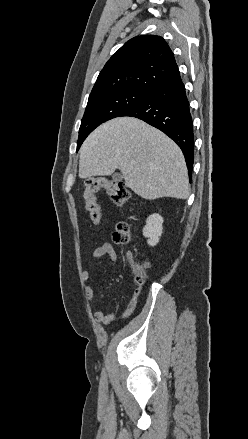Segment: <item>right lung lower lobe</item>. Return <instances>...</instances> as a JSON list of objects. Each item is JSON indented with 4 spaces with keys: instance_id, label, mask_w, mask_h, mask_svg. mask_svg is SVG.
Segmentation results:
<instances>
[{
    "instance_id": "obj_1",
    "label": "right lung lower lobe",
    "mask_w": 248,
    "mask_h": 439,
    "mask_svg": "<svg viewBox=\"0 0 248 439\" xmlns=\"http://www.w3.org/2000/svg\"><path fill=\"white\" fill-rule=\"evenodd\" d=\"M121 116L141 119L174 140L184 154L191 180L194 162L193 121L180 76L149 93Z\"/></svg>"
}]
</instances>
